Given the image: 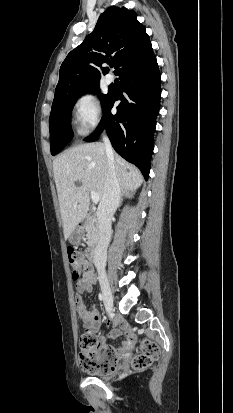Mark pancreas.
<instances>
[{
	"label": "pancreas",
	"mask_w": 233,
	"mask_h": 413,
	"mask_svg": "<svg viewBox=\"0 0 233 413\" xmlns=\"http://www.w3.org/2000/svg\"><path fill=\"white\" fill-rule=\"evenodd\" d=\"M85 231H86V237H87V244L89 246H93L98 239V225L97 223L92 219L89 218L85 222Z\"/></svg>",
	"instance_id": "1"
}]
</instances>
